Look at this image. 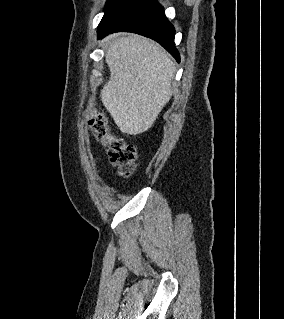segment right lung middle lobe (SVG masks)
<instances>
[{
	"instance_id": "right-lung-middle-lobe-1",
	"label": "right lung middle lobe",
	"mask_w": 284,
	"mask_h": 319,
	"mask_svg": "<svg viewBox=\"0 0 284 319\" xmlns=\"http://www.w3.org/2000/svg\"><path fill=\"white\" fill-rule=\"evenodd\" d=\"M137 1L138 0H108L105 7V14L98 26V30L107 27Z\"/></svg>"
}]
</instances>
